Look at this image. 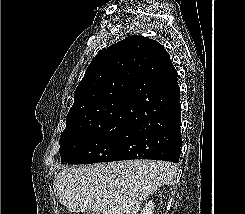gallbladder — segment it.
Instances as JSON below:
<instances>
[{
    "instance_id": "bac80fb5",
    "label": "gallbladder",
    "mask_w": 245,
    "mask_h": 214,
    "mask_svg": "<svg viewBox=\"0 0 245 214\" xmlns=\"http://www.w3.org/2000/svg\"><path fill=\"white\" fill-rule=\"evenodd\" d=\"M86 214H103L101 211H98V210H89L87 211Z\"/></svg>"
}]
</instances>
